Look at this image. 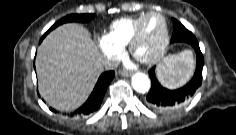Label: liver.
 <instances>
[{
	"instance_id": "6515ba94",
	"label": "liver",
	"mask_w": 236,
	"mask_h": 135,
	"mask_svg": "<svg viewBox=\"0 0 236 135\" xmlns=\"http://www.w3.org/2000/svg\"><path fill=\"white\" fill-rule=\"evenodd\" d=\"M104 58L87 29L67 23L50 32L38 47L39 93L53 108L71 111L89 96Z\"/></svg>"
}]
</instances>
